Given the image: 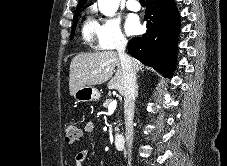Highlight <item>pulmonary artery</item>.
Here are the masks:
<instances>
[{
	"mask_svg": "<svg viewBox=\"0 0 227 166\" xmlns=\"http://www.w3.org/2000/svg\"><path fill=\"white\" fill-rule=\"evenodd\" d=\"M126 6L130 11H139L141 8L138 0H127Z\"/></svg>",
	"mask_w": 227,
	"mask_h": 166,
	"instance_id": "e3ab8cb5",
	"label": "pulmonary artery"
}]
</instances>
